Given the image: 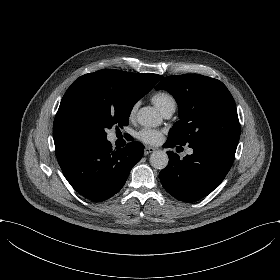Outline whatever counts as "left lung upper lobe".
<instances>
[{
    "label": "left lung upper lobe",
    "mask_w": 280,
    "mask_h": 280,
    "mask_svg": "<svg viewBox=\"0 0 280 280\" xmlns=\"http://www.w3.org/2000/svg\"><path fill=\"white\" fill-rule=\"evenodd\" d=\"M155 89L168 91L177 101L180 120L168 138L177 143L234 142L240 138L236 105L219 80L199 74L165 77Z\"/></svg>",
    "instance_id": "obj_1"
}]
</instances>
